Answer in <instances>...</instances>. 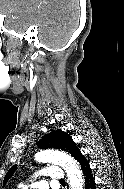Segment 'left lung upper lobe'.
<instances>
[{
	"label": "left lung upper lobe",
	"mask_w": 124,
	"mask_h": 189,
	"mask_svg": "<svg viewBox=\"0 0 124 189\" xmlns=\"http://www.w3.org/2000/svg\"><path fill=\"white\" fill-rule=\"evenodd\" d=\"M39 145L43 149H59L65 152H68L72 157L77 159L81 154L79 148L76 146L70 134L62 131L56 130L49 134H46L43 139L39 142ZM15 166L12 167L8 173L5 175L3 184L7 182L9 177L13 174Z\"/></svg>",
	"instance_id": "1"
}]
</instances>
